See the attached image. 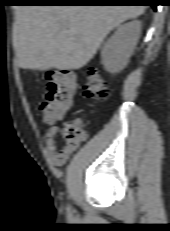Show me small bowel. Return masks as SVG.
I'll list each match as a JSON object with an SVG mask.
<instances>
[{
    "label": "small bowel",
    "mask_w": 170,
    "mask_h": 231,
    "mask_svg": "<svg viewBox=\"0 0 170 231\" xmlns=\"http://www.w3.org/2000/svg\"><path fill=\"white\" fill-rule=\"evenodd\" d=\"M74 122H80V119H75ZM60 132V128L57 126H52L48 129V131L45 134V145H46V152L47 156L52 164L55 166H62L66 163V161L69 159L71 153L74 151V149H71L67 146H64L62 148L58 147L57 144V134Z\"/></svg>",
    "instance_id": "obj_1"
}]
</instances>
